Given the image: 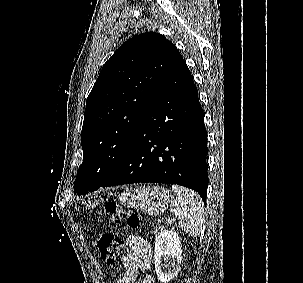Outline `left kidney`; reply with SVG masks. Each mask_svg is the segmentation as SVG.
<instances>
[{"mask_svg": "<svg viewBox=\"0 0 303 283\" xmlns=\"http://www.w3.org/2000/svg\"><path fill=\"white\" fill-rule=\"evenodd\" d=\"M155 271L158 279L167 283L172 280L180 271L182 262L181 240L173 230L162 231L156 238Z\"/></svg>", "mask_w": 303, "mask_h": 283, "instance_id": "5707ae66", "label": "left kidney"}]
</instances>
